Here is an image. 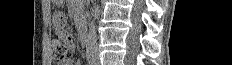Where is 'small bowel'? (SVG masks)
Instances as JSON below:
<instances>
[{"label":"small bowel","instance_id":"c3829d8e","mask_svg":"<svg viewBox=\"0 0 232 65\" xmlns=\"http://www.w3.org/2000/svg\"><path fill=\"white\" fill-rule=\"evenodd\" d=\"M64 15V12H53L57 34H59V37H74V32H68L71 30V27L68 26L69 21L67 20V17ZM63 65L74 64L71 61H68Z\"/></svg>","mask_w":232,"mask_h":65}]
</instances>
